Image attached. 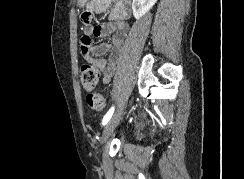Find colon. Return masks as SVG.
Returning <instances> with one entry per match:
<instances>
[{
    "label": "colon",
    "mask_w": 244,
    "mask_h": 179,
    "mask_svg": "<svg viewBox=\"0 0 244 179\" xmlns=\"http://www.w3.org/2000/svg\"><path fill=\"white\" fill-rule=\"evenodd\" d=\"M80 80L87 91L86 103L93 112H102L105 109V98L96 91L98 84V70L89 63H84L80 68Z\"/></svg>",
    "instance_id": "obj_1"
}]
</instances>
